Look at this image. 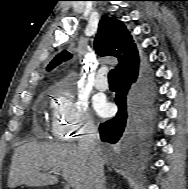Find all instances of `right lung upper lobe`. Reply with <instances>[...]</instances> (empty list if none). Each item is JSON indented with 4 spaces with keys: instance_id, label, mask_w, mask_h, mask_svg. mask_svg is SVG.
<instances>
[{
    "instance_id": "1",
    "label": "right lung upper lobe",
    "mask_w": 188,
    "mask_h": 189,
    "mask_svg": "<svg viewBox=\"0 0 188 189\" xmlns=\"http://www.w3.org/2000/svg\"><path fill=\"white\" fill-rule=\"evenodd\" d=\"M94 46L98 55L118 58L119 64L116 66L118 77L138 70L139 56L136 45L130 32L121 21L107 15L102 16ZM71 57L69 52L62 51L49 63L47 70L54 69Z\"/></svg>"
}]
</instances>
